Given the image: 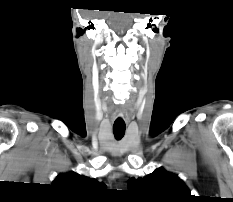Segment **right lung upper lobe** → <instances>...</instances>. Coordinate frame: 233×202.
<instances>
[{
	"label": "right lung upper lobe",
	"mask_w": 233,
	"mask_h": 202,
	"mask_svg": "<svg viewBox=\"0 0 233 202\" xmlns=\"http://www.w3.org/2000/svg\"><path fill=\"white\" fill-rule=\"evenodd\" d=\"M53 185L75 191H85L102 186L96 179H90L75 172L58 175L53 181Z\"/></svg>",
	"instance_id": "1"
}]
</instances>
